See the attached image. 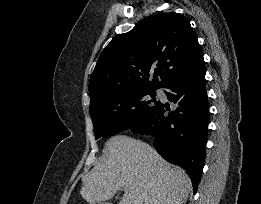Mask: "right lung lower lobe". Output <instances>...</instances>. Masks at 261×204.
<instances>
[{"mask_svg":"<svg viewBox=\"0 0 261 204\" xmlns=\"http://www.w3.org/2000/svg\"><path fill=\"white\" fill-rule=\"evenodd\" d=\"M203 58L190 70L171 80L165 88L169 106L160 101L140 122L130 127L133 133L154 138L157 152L168 162L183 167L197 191L204 167L207 141L208 102Z\"/></svg>","mask_w":261,"mask_h":204,"instance_id":"obj_1","label":"right lung lower lobe"}]
</instances>
